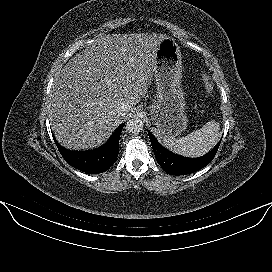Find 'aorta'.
Here are the masks:
<instances>
[{
  "mask_svg": "<svg viewBox=\"0 0 272 272\" xmlns=\"http://www.w3.org/2000/svg\"><path fill=\"white\" fill-rule=\"evenodd\" d=\"M126 131L130 134H139L143 130V123L138 118L130 119L126 123Z\"/></svg>",
  "mask_w": 272,
  "mask_h": 272,
  "instance_id": "1",
  "label": "aorta"
}]
</instances>
